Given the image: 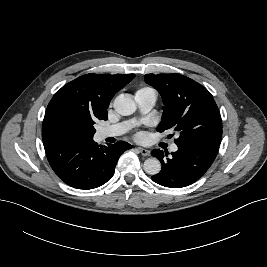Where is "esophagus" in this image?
I'll return each instance as SVG.
<instances>
[{
    "label": "esophagus",
    "instance_id": "esophagus-1",
    "mask_svg": "<svg viewBox=\"0 0 267 267\" xmlns=\"http://www.w3.org/2000/svg\"><path fill=\"white\" fill-rule=\"evenodd\" d=\"M138 150L143 156H149L150 155V151L146 148L138 147Z\"/></svg>",
    "mask_w": 267,
    "mask_h": 267
}]
</instances>
